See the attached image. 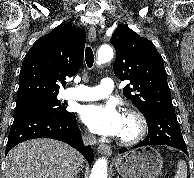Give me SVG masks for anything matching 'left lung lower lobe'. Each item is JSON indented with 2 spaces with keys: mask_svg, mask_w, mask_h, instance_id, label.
<instances>
[{
  "mask_svg": "<svg viewBox=\"0 0 194 178\" xmlns=\"http://www.w3.org/2000/svg\"><path fill=\"white\" fill-rule=\"evenodd\" d=\"M143 115L147 120L148 135L143 141L132 148L150 145H168L180 149L188 155L174 107L151 108L146 110ZM129 149L123 148L119 152L124 153Z\"/></svg>",
  "mask_w": 194,
  "mask_h": 178,
  "instance_id": "1",
  "label": "left lung lower lobe"
}]
</instances>
